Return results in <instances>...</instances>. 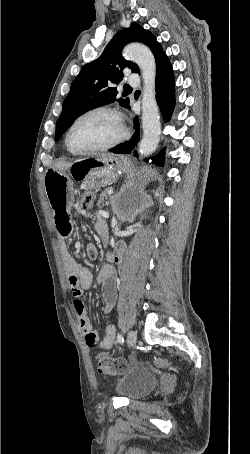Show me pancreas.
<instances>
[{"label": "pancreas", "mask_w": 250, "mask_h": 454, "mask_svg": "<svg viewBox=\"0 0 250 454\" xmlns=\"http://www.w3.org/2000/svg\"><path fill=\"white\" fill-rule=\"evenodd\" d=\"M111 190V188H107L105 189L101 195H100V202H103L104 201V197L107 195V193Z\"/></svg>", "instance_id": "cf45deb5"}]
</instances>
